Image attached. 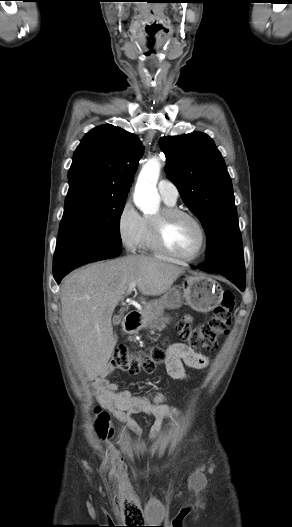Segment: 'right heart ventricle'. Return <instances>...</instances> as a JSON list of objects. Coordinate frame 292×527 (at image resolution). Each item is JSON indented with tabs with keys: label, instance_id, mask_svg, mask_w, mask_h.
I'll list each match as a JSON object with an SVG mask.
<instances>
[{
	"label": "right heart ventricle",
	"instance_id": "obj_1",
	"mask_svg": "<svg viewBox=\"0 0 292 527\" xmlns=\"http://www.w3.org/2000/svg\"><path fill=\"white\" fill-rule=\"evenodd\" d=\"M166 207H174L176 202L164 200ZM138 248L142 252L159 253L155 248L150 231V218L143 217L142 229L139 236Z\"/></svg>",
	"mask_w": 292,
	"mask_h": 527
}]
</instances>
